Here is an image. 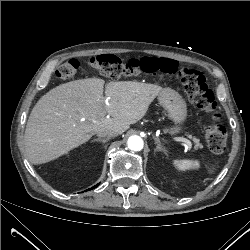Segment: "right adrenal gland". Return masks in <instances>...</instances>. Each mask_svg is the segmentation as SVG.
Masks as SVG:
<instances>
[{
	"label": "right adrenal gland",
	"mask_w": 250,
	"mask_h": 250,
	"mask_svg": "<svg viewBox=\"0 0 250 250\" xmlns=\"http://www.w3.org/2000/svg\"><path fill=\"white\" fill-rule=\"evenodd\" d=\"M102 142L103 144H105L106 142L109 141V138H106V139H102V138H97V139H93L91 142Z\"/></svg>",
	"instance_id": "2a0ac1e0"
}]
</instances>
